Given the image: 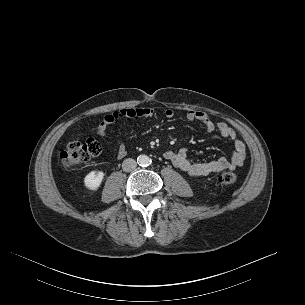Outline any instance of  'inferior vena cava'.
Instances as JSON below:
<instances>
[{
	"label": "inferior vena cava",
	"instance_id": "602c4592",
	"mask_svg": "<svg viewBox=\"0 0 305 305\" xmlns=\"http://www.w3.org/2000/svg\"><path fill=\"white\" fill-rule=\"evenodd\" d=\"M137 166V163L134 159L132 158H128V159H125L122 163V169L125 171V172H131L133 171Z\"/></svg>",
	"mask_w": 305,
	"mask_h": 305
}]
</instances>
